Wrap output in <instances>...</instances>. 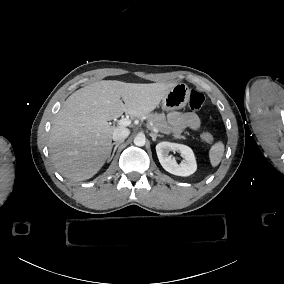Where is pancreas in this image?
<instances>
[{
    "label": "pancreas",
    "mask_w": 284,
    "mask_h": 284,
    "mask_svg": "<svg viewBox=\"0 0 284 284\" xmlns=\"http://www.w3.org/2000/svg\"><path fill=\"white\" fill-rule=\"evenodd\" d=\"M142 116H145L147 118L148 129L150 130L157 129L161 133L170 134L172 127L169 126V124L167 123L165 114L149 113ZM174 137L178 139H185L184 136L178 134L174 135Z\"/></svg>",
    "instance_id": "1"
}]
</instances>
